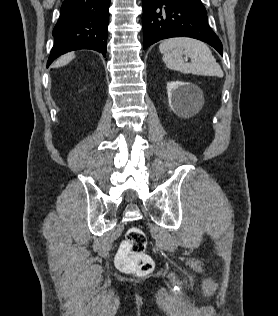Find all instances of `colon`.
Returning <instances> with one entry per match:
<instances>
[{
	"label": "colon",
	"instance_id": "colon-1",
	"mask_svg": "<svg viewBox=\"0 0 278 316\" xmlns=\"http://www.w3.org/2000/svg\"><path fill=\"white\" fill-rule=\"evenodd\" d=\"M147 237L139 227H130L116 254V266L122 272L148 274L154 263L145 251Z\"/></svg>",
	"mask_w": 278,
	"mask_h": 316
}]
</instances>
